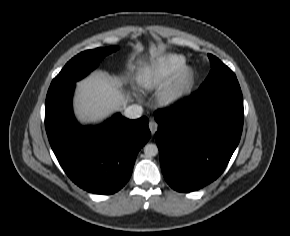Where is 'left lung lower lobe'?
<instances>
[{
	"instance_id": "obj_1",
	"label": "left lung lower lobe",
	"mask_w": 290,
	"mask_h": 236,
	"mask_svg": "<svg viewBox=\"0 0 290 236\" xmlns=\"http://www.w3.org/2000/svg\"><path fill=\"white\" fill-rule=\"evenodd\" d=\"M154 117L166 182L179 192L198 190L222 174L240 141L244 111L239 83L199 89Z\"/></svg>"
}]
</instances>
